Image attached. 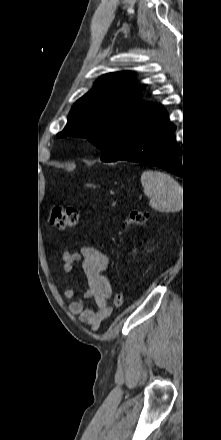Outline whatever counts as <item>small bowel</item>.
I'll list each match as a JSON object with an SVG mask.
<instances>
[{"label": "small bowel", "mask_w": 221, "mask_h": 440, "mask_svg": "<svg viewBox=\"0 0 221 440\" xmlns=\"http://www.w3.org/2000/svg\"><path fill=\"white\" fill-rule=\"evenodd\" d=\"M62 259V270L73 275L77 273L74 263H81L87 285L83 297H78L74 289L64 291V297L71 300L69 311L78 314L85 324L92 330H96L111 313V309L107 304L112 294L111 283L107 276L109 258L101 250L85 246L78 253L64 251ZM85 298L91 299L94 306L85 308L83 302Z\"/></svg>", "instance_id": "1"}]
</instances>
